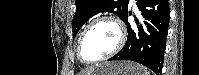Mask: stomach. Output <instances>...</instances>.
Here are the masks:
<instances>
[{"label":"stomach","mask_w":199,"mask_h":75,"mask_svg":"<svg viewBox=\"0 0 199 75\" xmlns=\"http://www.w3.org/2000/svg\"><path fill=\"white\" fill-rule=\"evenodd\" d=\"M144 68L132 62H109L97 66L90 75H144Z\"/></svg>","instance_id":"0dacf381"}]
</instances>
